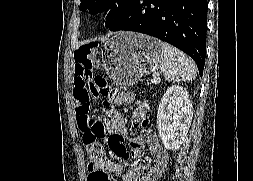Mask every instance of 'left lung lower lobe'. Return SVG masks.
Here are the masks:
<instances>
[{"mask_svg": "<svg viewBox=\"0 0 253 181\" xmlns=\"http://www.w3.org/2000/svg\"><path fill=\"white\" fill-rule=\"evenodd\" d=\"M207 0H134L111 31L154 36L187 53L202 76L206 53Z\"/></svg>", "mask_w": 253, "mask_h": 181, "instance_id": "0a47b994", "label": "left lung lower lobe"}]
</instances>
